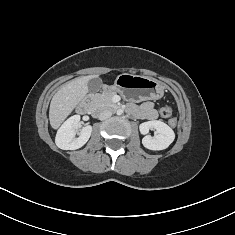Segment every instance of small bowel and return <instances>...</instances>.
<instances>
[{"instance_id": "1", "label": "small bowel", "mask_w": 235, "mask_h": 235, "mask_svg": "<svg viewBox=\"0 0 235 235\" xmlns=\"http://www.w3.org/2000/svg\"><path fill=\"white\" fill-rule=\"evenodd\" d=\"M135 114L146 120H154L157 117V113L152 102L142 103L139 107L135 108Z\"/></svg>"}]
</instances>
